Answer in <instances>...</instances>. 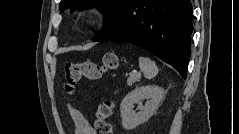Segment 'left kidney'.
I'll list each match as a JSON object with an SVG mask.
<instances>
[{"label": "left kidney", "instance_id": "left-kidney-1", "mask_svg": "<svg viewBox=\"0 0 239 134\" xmlns=\"http://www.w3.org/2000/svg\"><path fill=\"white\" fill-rule=\"evenodd\" d=\"M164 95L165 90L158 86H141L126 95L120 105L123 128L132 130L147 122L155 113ZM144 99H147L145 106L142 104ZM134 104L138 105L137 113L133 110Z\"/></svg>", "mask_w": 239, "mask_h": 134}]
</instances>
